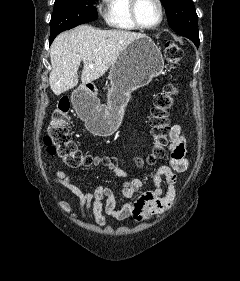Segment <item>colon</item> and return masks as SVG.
<instances>
[{"instance_id":"1","label":"colon","mask_w":240,"mask_h":281,"mask_svg":"<svg viewBox=\"0 0 240 281\" xmlns=\"http://www.w3.org/2000/svg\"><path fill=\"white\" fill-rule=\"evenodd\" d=\"M165 57L171 69L180 62L182 49L174 41L165 44ZM177 89L173 82H168L163 89L154 96L151 109L150 125L154 137L151 152L146 157L147 163H154L165 154L167 136L169 134L168 113L173 105ZM70 101L67 97L59 100L55 108L48 131L44 137L47 152L59 157L68 167L90 168L98 165L112 163L115 159L94 156L83 152L73 141L70 130Z\"/></svg>"}]
</instances>
